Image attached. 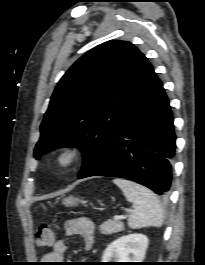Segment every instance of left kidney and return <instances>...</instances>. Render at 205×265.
<instances>
[{
    "mask_svg": "<svg viewBox=\"0 0 205 265\" xmlns=\"http://www.w3.org/2000/svg\"><path fill=\"white\" fill-rule=\"evenodd\" d=\"M148 238L143 234L121 236L108 245L102 256V262H142Z\"/></svg>",
    "mask_w": 205,
    "mask_h": 265,
    "instance_id": "1",
    "label": "left kidney"
}]
</instances>
